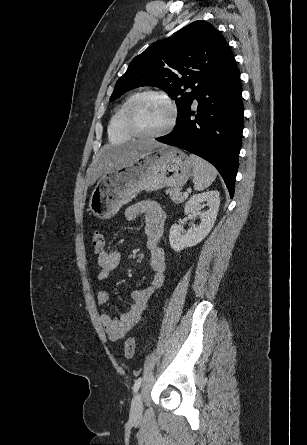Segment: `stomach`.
Segmentation results:
<instances>
[{"instance_id":"0dacf381","label":"stomach","mask_w":307,"mask_h":445,"mask_svg":"<svg viewBox=\"0 0 307 445\" xmlns=\"http://www.w3.org/2000/svg\"><path fill=\"white\" fill-rule=\"evenodd\" d=\"M192 170L189 156L176 146L151 148L135 162L102 174L90 196L89 208L97 218H111L141 190L152 192L164 186H184Z\"/></svg>"}]
</instances>
